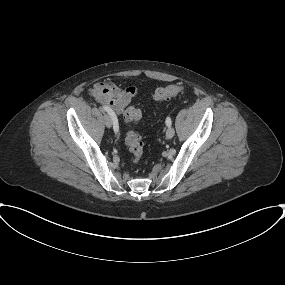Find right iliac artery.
Instances as JSON below:
<instances>
[{
	"label": "right iliac artery",
	"instance_id": "obj_1",
	"mask_svg": "<svg viewBox=\"0 0 285 285\" xmlns=\"http://www.w3.org/2000/svg\"><path fill=\"white\" fill-rule=\"evenodd\" d=\"M103 110H105L112 118V121H113V128H114V131L117 133L119 131V125H118V120L115 116V114L107 107L103 106L102 107Z\"/></svg>",
	"mask_w": 285,
	"mask_h": 285
}]
</instances>
